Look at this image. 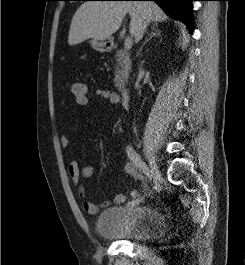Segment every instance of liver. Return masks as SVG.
I'll use <instances>...</instances> for the list:
<instances>
[{"label":"liver","instance_id":"liver-1","mask_svg":"<svg viewBox=\"0 0 245 265\" xmlns=\"http://www.w3.org/2000/svg\"><path fill=\"white\" fill-rule=\"evenodd\" d=\"M129 13V32L138 42L150 21L162 22L167 15L154 2L86 1L75 12L69 30L68 44L92 39H109ZM148 20V23H147Z\"/></svg>","mask_w":245,"mask_h":265}]
</instances>
